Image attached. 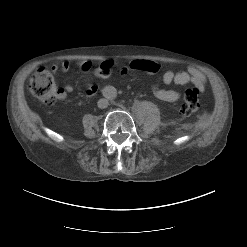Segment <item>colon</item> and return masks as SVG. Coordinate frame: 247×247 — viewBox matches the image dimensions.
I'll use <instances>...</instances> for the list:
<instances>
[{"label": "colon", "mask_w": 247, "mask_h": 247, "mask_svg": "<svg viewBox=\"0 0 247 247\" xmlns=\"http://www.w3.org/2000/svg\"><path fill=\"white\" fill-rule=\"evenodd\" d=\"M113 72V64L110 61L102 62L93 70L96 78H105ZM28 90L31 95L46 104H53L59 96V90L55 84L51 72L45 68L37 70L30 78ZM199 92L196 89H185L178 110L183 116L194 114L199 108Z\"/></svg>", "instance_id": "obj_1"}]
</instances>
